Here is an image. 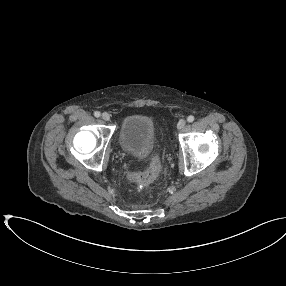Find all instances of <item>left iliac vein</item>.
I'll use <instances>...</instances> for the list:
<instances>
[{"instance_id": "obj_1", "label": "left iliac vein", "mask_w": 286, "mask_h": 286, "mask_svg": "<svg viewBox=\"0 0 286 286\" xmlns=\"http://www.w3.org/2000/svg\"><path fill=\"white\" fill-rule=\"evenodd\" d=\"M185 125H186V120L185 119H181V120H179V122L177 124V128L179 130H181V129H183L185 127Z\"/></svg>"}]
</instances>
